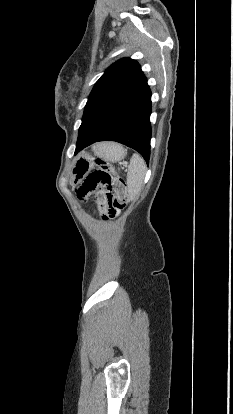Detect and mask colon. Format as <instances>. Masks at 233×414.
Masks as SVG:
<instances>
[{"instance_id": "obj_1", "label": "colon", "mask_w": 233, "mask_h": 414, "mask_svg": "<svg viewBox=\"0 0 233 414\" xmlns=\"http://www.w3.org/2000/svg\"><path fill=\"white\" fill-rule=\"evenodd\" d=\"M79 194L85 197L93 194L103 219H109L128 203L125 181L116 175L112 165L97 159L95 168L85 179Z\"/></svg>"}]
</instances>
